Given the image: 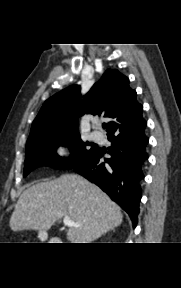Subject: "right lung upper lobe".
I'll return each instance as SVG.
<instances>
[{
	"mask_svg": "<svg viewBox=\"0 0 181 288\" xmlns=\"http://www.w3.org/2000/svg\"><path fill=\"white\" fill-rule=\"evenodd\" d=\"M79 85H72L45 101L32 123L29 139L52 132L78 133V117L83 114L108 117L107 135L139 131L146 126L143 106L129 79L117 70L108 69L80 101Z\"/></svg>",
	"mask_w": 181,
	"mask_h": 288,
	"instance_id": "right-lung-upper-lobe-1",
	"label": "right lung upper lobe"
}]
</instances>
